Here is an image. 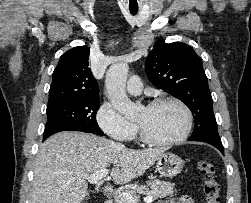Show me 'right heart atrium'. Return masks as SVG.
Here are the masks:
<instances>
[{"mask_svg":"<svg viewBox=\"0 0 251 203\" xmlns=\"http://www.w3.org/2000/svg\"><path fill=\"white\" fill-rule=\"evenodd\" d=\"M96 119L101 130L116 141H129L136 133V125L126 120L109 102L99 107Z\"/></svg>","mask_w":251,"mask_h":203,"instance_id":"d8ad5b80","label":"right heart atrium"}]
</instances>
